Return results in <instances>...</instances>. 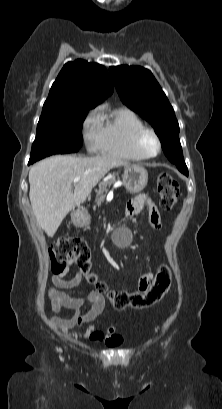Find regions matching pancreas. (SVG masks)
Listing matches in <instances>:
<instances>
[{"label": "pancreas", "instance_id": "1", "mask_svg": "<svg viewBox=\"0 0 222 409\" xmlns=\"http://www.w3.org/2000/svg\"><path fill=\"white\" fill-rule=\"evenodd\" d=\"M118 180V178L116 179L115 176L109 178L106 181H103L99 184V189L96 191L97 195H96V204L97 206H100L101 203L104 201L105 199V195L104 193L108 191V188L113 185L114 183H116Z\"/></svg>", "mask_w": 222, "mask_h": 409}]
</instances>
